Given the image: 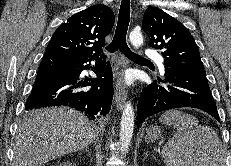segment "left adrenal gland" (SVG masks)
Masks as SVG:
<instances>
[{"instance_id": "obj_1", "label": "left adrenal gland", "mask_w": 231, "mask_h": 166, "mask_svg": "<svg viewBox=\"0 0 231 166\" xmlns=\"http://www.w3.org/2000/svg\"><path fill=\"white\" fill-rule=\"evenodd\" d=\"M145 158L148 157L149 155L153 156L152 154L148 153V152H145Z\"/></svg>"}]
</instances>
